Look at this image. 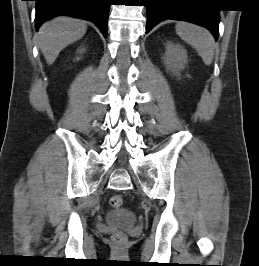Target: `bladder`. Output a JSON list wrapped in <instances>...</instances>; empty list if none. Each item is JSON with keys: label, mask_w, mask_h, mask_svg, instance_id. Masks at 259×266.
I'll list each match as a JSON object with an SVG mask.
<instances>
[{"label": "bladder", "mask_w": 259, "mask_h": 266, "mask_svg": "<svg viewBox=\"0 0 259 266\" xmlns=\"http://www.w3.org/2000/svg\"><path fill=\"white\" fill-rule=\"evenodd\" d=\"M107 221L116 225H129L135 221V216L128 210L118 208L108 214Z\"/></svg>", "instance_id": "1"}]
</instances>
